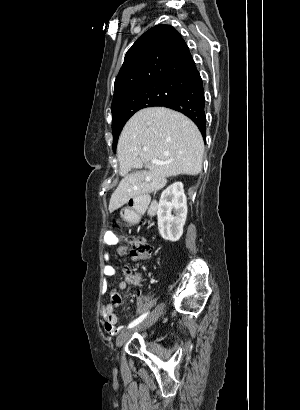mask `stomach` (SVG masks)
<instances>
[{
  "label": "stomach",
  "instance_id": "1",
  "mask_svg": "<svg viewBox=\"0 0 300 410\" xmlns=\"http://www.w3.org/2000/svg\"><path fill=\"white\" fill-rule=\"evenodd\" d=\"M125 214H126V212H125V211H122V212H121V215H125Z\"/></svg>",
  "mask_w": 300,
  "mask_h": 410
}]
</instances>
